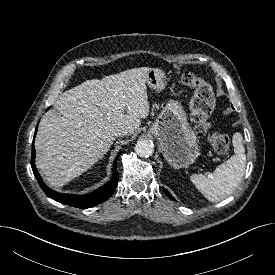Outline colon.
<instances>
[{"label": "colon", "instance_id": "colon-1", "mask_svg": "<svg viewBox=\"0 0 275 275\" xmlns=\"http://www.w3.org/2000/svg\"><path fill=\"white\" fill-rule=\"evenodd\" d=\"M181 80L184 85L193 89L190 100V120L198 135H207L213 150L225 154L230 147L229 137L219 132H210L209 116L215 107L213 88L206 81L191 72H185Z\"/></svg>", "mask_w": 275, "mask_h": 275}]
</instances>
